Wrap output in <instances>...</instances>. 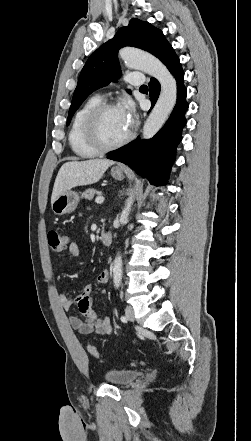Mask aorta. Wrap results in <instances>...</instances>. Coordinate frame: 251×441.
<instances>
[{"instance_id": "obj_1", "label": "aorta", "mask_w": 251, "mask_h": 441, "mask_svg": "<svg viewBox=\"0 0 251 441\" xmlns=\"http://www.w3.org/2000/svg\"><path fill=\"white\" fill-rule=\"evenodd\" d=\"M125 64L133 69L141 70L156 78L161 85L160 96L143 127V138H152L163 126L173 110L177 100V83L165 65L156 57L132 48H124L119 52ZM134 203V195L130 194L120 215V223L127 222L129 212ZM122 280V258L117 255L113 262V282L118 288Z\"/></svg>"}]
</instances>
